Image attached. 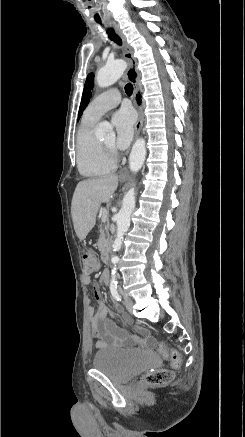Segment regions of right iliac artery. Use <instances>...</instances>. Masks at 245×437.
<instances>
[{
	"label": "right iliac artery",
	"mask_w": 245,
	"mask_h": 437,
	"mask_svg": "<svg viewBox=\"0 0 245 437\" xmlns=\"http://www.w3.org/2000/svg\"><path fill=\"white\" fill-rule=\"evenodd\" d=\"M110 291H111V294H112V296H113V298H114L115 300H117V301H121V296H120V294L118 293V290H117V284H116V283H112V284L110 285Z\"/></svg>",
	"instance_id": "right-iliac-artery-1"
}]
</instances>
